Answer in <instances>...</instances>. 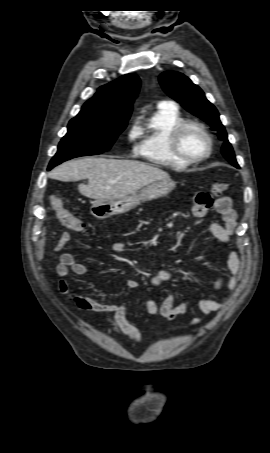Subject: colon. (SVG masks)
<instances>
[{"label":"colon","mask_w":270,"mask_h":453,"mask_svg":"<svg viewBox=\"0 0 270 453\" xmlns=\"http://www.w3.org/2000/svg\"><path fill=\"white\" fill-rule=\"evenodd\" d=\"M229 184L223 181H216L212 184V193L220 196L227 192ZM196 200L205 204L211 205V197L208 194L200 193L197 195ZM50 205L60 223L67 229L73 232H83L85 230L84 221L73 212H71L65 205L64 201L58 196L50 197Z\"/></svg>","instance_id":"colon-1"}]
</instances>
